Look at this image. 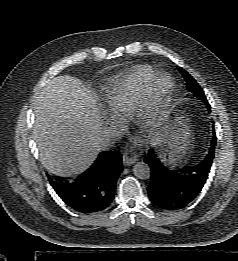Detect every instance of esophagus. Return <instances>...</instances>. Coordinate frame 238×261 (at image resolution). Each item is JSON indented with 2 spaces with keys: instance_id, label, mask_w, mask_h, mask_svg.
<instances>
[{
  "instance_id": "obj_1",
  "label": "esophagus",
  "mask_w": 238,
  "mask_h": 261,
  "mask_svg": "<svg viewBox=\"0 0 238 261\" xmlns=\"http://www.w3.org/2000/svg\"><path fill=\"white\" fill-rule=\"evenodd\" d=\"M136 156L135 155H129V154H124L123 155V164L128 166L136 162Z\"/></svg>"
}]
</instances>
